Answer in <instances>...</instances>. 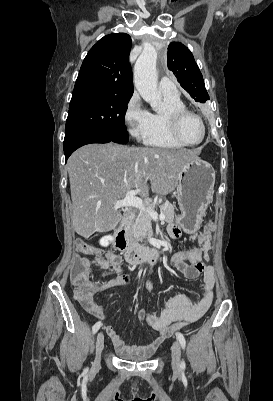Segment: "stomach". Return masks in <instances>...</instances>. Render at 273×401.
Instances as JSON below:
<instances>
[{"instance_id":"stomach-1","label":"stomach","mask_w":273,"mask_h":401,"mask_svg":"<svg viewBox=\"0 0 273 401\" xmlns=\"http://www.w3.org/2000/svg\"><path fill=\"white\" fill-rule=\"evenodd\" d=\"M215 170L206 160L186 162L178 174L176 188L181 215L176 223L184 233L199 231L214 192Z\"/></svg>"}]
</instances>
